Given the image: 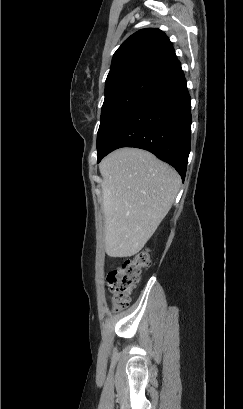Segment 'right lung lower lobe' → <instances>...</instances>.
<instances>
[{
    "mask_svg": "<svg viewBox=\"0 0 243 409\" xmlns=\"http://www.w3.org/2000/svg\"><path fill=\"white\" fill-rule=\"evenodd\" d=\"M190 101L179 65L117 127L98 154L97 162L117 148H141L169 163L184 180L191 141Z\"/></svg>",
    "mask_w": 243,
    "mask_h": 409,
    "instance_id": "right-lung-lower-lobe-1",
    "label": "right lung lower lobe"
}]
</instances>
